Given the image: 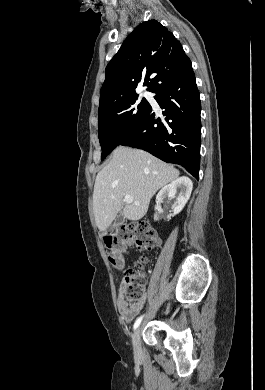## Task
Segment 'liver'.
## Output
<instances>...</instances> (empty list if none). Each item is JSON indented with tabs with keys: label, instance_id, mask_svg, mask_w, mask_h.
<instances>
[{
	"label": "liver",
	"instance_id": "liver-1",
	"mask_svg": "<svg viewBox=\"0 0 265 390\" xmlns=\"http://www.w3.org/2000/svg\"><path fill=\"white\" fill-rule=\"evenodd\" d=\"M179 174L176 168L148 152L117 147L95 180L93 212L98 229L106 230L121 211L128 220H140L155 193ZM126 195L133 198V203L124 205Z\"/></svg>",
	"mask_w": 265,
	"mask_h": 390
}]
</instances>
